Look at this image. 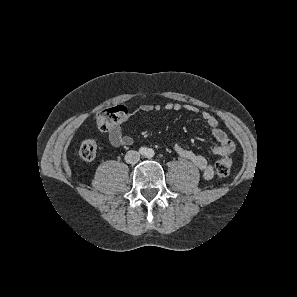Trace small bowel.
<instances>
[{
	"label": "small bowel",
	"instance_id": "c3829d8e",
	"mask_svg": "<svg viewBox=\"0 0 297 297\" xmlns=\"http://www.w3.org/2000/svg\"><path fill=\"white\" fill-rule=\"evenodd\" d=\"M181 110L198 114L204 120L207 127L211 131L212 137L216 141V145L212 148V153L214 155L224 157L230 155L233 152L235 148L234 142L222 129L219 128L217 119L208 111H202L193 105H183L180 103H167L164 105L155 106L144 105L141 107V111L143 112ZM108 137L110 143L115 147H125L133 144V138L124 134L120 125H115L110 130H108ZM173 147L175 152L181 158L190 161L196 168H198L202 172L205 179L213 178L214 168L204 156L197 154L178 143L174 144Z\"/></svg>",
	"mask_w": 297,
	"mask_h": 297
}]
</instances>
